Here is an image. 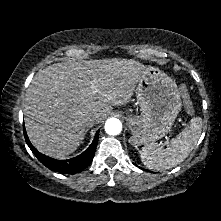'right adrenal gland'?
I'll list each match as a JSON object with an SVG mask.
<instances>
[{
    "instance_id": "2a0ac1e0",
    "label": "right adrenal gland",
    "mask_w": 221,
    "mask_h": 221,
    "mask_svg": "<svg viewBox=\"0 0 221 221\" xmlns=\"http://www.w3.org/2000/svg\"><path fill=\"white\" fill-rule=\"evenodd\" d=\"M88 130H89V129H86V130H85V134L88 132ZM85 134H84V136H85Z\"/></svg>"
}]
</instances>
